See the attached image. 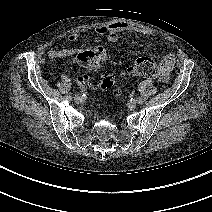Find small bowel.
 <instances>
[{"label": "small bowel", "mask_w": 212, "mask_h": 212, "mask_svg": "<svg viewBox=\"0 0 212 212\" xmlns=\"http://www.w3.org/2000/svg\"><path fill=\"white\" fill-rule=\"evenodd\" d=\"M124 31H134L152 38H159V35L154 31L148 30L146 28L137 27L127 22H114L110 24L99 25L95 28V32L97 34L106 36L107 39L111 42H116L119 38L120 33ZM79 38L80 35L73 33L69 36L68 39L70 42H76L79 40ZM79 52L80 49L78 48L51 49L48 52V55L52 58H64L74 56ZM174 62L175 56L171 53L167 54L163 58V61L161 63V75L159 77V80L161 82H166L169 79V74L171 69L173 68ZM76 82L83 91L94 86L90 77L86 74L77 76Z\"/></svg>", "instance_id": "c3829d8e"}]
</instances>
